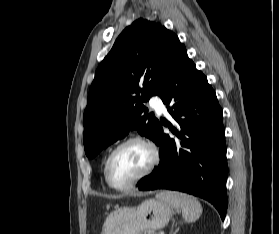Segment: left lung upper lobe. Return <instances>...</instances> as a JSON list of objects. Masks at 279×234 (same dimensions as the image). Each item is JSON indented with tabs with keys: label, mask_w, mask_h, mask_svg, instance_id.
<instances>
[{
	"label": "left lung upper lobe",
	"mask_w": 279,
	"mask_h": 234,
	"mask_svg": "<svg viewBox=\"0 0 279 234\" xmlns=\"http://www.w3.org/2000/svg\"><path fill=\"white\" fill-rule=\"evenodd\" d=\"M182 47L177 35L160 23L138 19L123 30L97 68L89 91L83 115L88 157L131 130L155 142L159 121L147 114L142 102L158 94Z\"/></svg>",
	"instance_id": "5c2ea615"
}]
</instances>
